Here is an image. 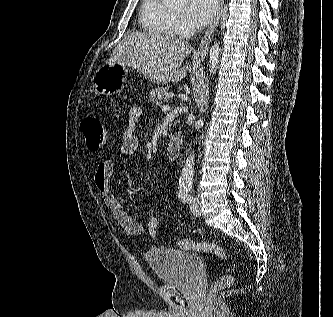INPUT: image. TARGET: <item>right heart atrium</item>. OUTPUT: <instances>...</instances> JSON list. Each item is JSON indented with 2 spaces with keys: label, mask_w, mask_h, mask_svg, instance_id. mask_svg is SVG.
Segmentation results:
<instances>
[{
  "label": "right heart atrium",
  "mask_w": 333,
  "mask_h": 317,
  "mask_svg": "<svg viewBox=\"0 0 333 317\" xmlns=\"http://www.w3.org/2000/svg\"><path fill=\"white\" fill-rule=\"evenodd\" d=\"M176 29L180 34H187L191 32V26L181 17H176Z\"/></svg>",
  "instance_id": "right-heart-atrium-1"
}]
</instances>
